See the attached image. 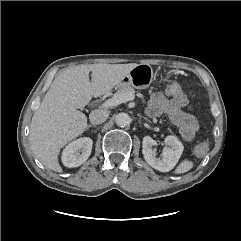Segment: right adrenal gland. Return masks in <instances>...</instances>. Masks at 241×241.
<instances>
[{
	"label": "right adrenal gland",
	"mask_w": 241,
	"mask_h": 241,
	"mask_svg": "<svg viewBox=\"0 0 241 241\" xmlns=\"http://www.w3.org/2000/svg\"><path fill=\"white\" fill-rule=\"evenodd\" d=\"M96 127V125H94V124H89V125H87V130L89 129V128H95Z\"/></svg>",
	"instance_id": "2a0ac1e0"
}]
</instances>
